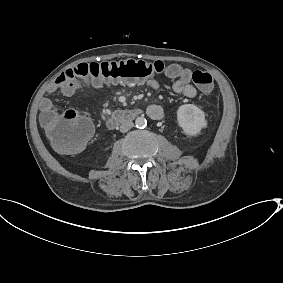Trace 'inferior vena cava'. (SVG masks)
<instances>
[{
  "instance_id": "obj_1",
  "label": "inferior vena cava",
  "mask_w": 283,
  "mask_h": 283,
  "mask_svg": "<svg viewBox=\"0 0 283 283\" xmlns=\"http://www.w3.org/2000/svg\"><path fill=\"white\" fill-rule=\"evenodd\" d=\"M134 126L132 121L126 120L120 125V132L125 133Z\"/></svg>"
}]
</instances>
